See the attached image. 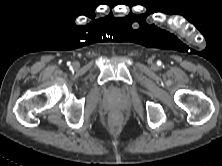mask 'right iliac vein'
Returning <instances> with one entry per match:
<instances>
[{"label":"right iliac vein","instance_id":"obj_1","mask_svg":"<svg viewBox=\"0 0 222 166\" xmlns=\"http://www.w3.org/2000/svg\"><path fill=\"white\" fill-rule=\"evenodd\" d=\"M74 67H79V64L75 62Z\"/></svg>","mask_w":222,"mask_h":166}]
</instances>
